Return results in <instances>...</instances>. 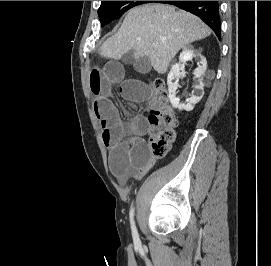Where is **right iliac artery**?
Returning a JSON list of instances; mask_svg holds the SVG:
<instances>
[{
	"label": "right iliac artery",
	"instance_id": "82829eb1",
	"mask_svg": "<svg viewBox=\"0 0 271 266\" xmlns=\"http://www.w3.org/2000/svg\"><path fill=\"white\" fill-rule=\"evenodd\" d=\"M133 216H134V209L131 208V211H130V220H131V228H132L133 239H134L135 242H138L139 241V237H138V233H137V230H136V227H135Z\"/></svg>",
	"mask_w": 271,
	"mask_h": 266
}]
</instances>
